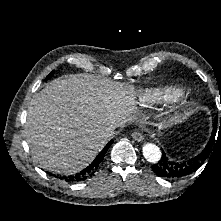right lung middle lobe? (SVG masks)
Listing matches in <instances>:
<instances>
[{
	"label": "right lung middle lobe",
	"instance_id": "dd1d6c3e",
	"mask_svg": "<svg viewBox=\"0 0 221 221\" xmlns=\"http://www.w3.org/2000/svg\"><path fill=\"white\" fill-rule=\"evenodd\" d=\"M53 74H54V71H52V72L46 77V79H49Z\"/></svg>",
	"mask_w": 221,
	"mask_h": 221
}]
</instances>
